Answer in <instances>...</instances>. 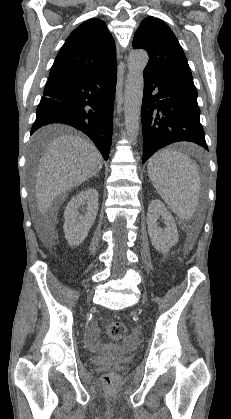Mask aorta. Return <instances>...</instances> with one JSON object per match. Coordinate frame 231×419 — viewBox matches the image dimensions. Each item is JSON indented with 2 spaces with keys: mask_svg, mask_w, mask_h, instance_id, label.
<instances>
[{
  "mask_svg": "<svg viewBox=\"0 0 231 419\" xmlns=\"http://www.w3.org/2000/svg\"><path fill=\"white\" fill-rule=\"evenodd\" d=\"M148 60V53L144 50L131 52L127 60L128 75L124 94V116L127 136L132 143L136 142L140 128L144 69Z\"/></svg>",
  "mask_w": 231,
  "mask_h": 419,
  "instance_id": "obj_1",
  "label": "aorta"
}]
</instances>
